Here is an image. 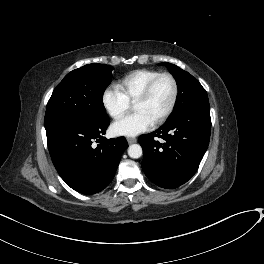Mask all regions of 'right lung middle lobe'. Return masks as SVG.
Masks as SVG:
<instances>
[{
    "label": "right lung middle lobe",
    "instance_id": "right-lung-middle-lobe-1",
    "mask_svg": "<svg viewBox=\"0 0 264 264\" xmlns=\"http://www.w3.org/2000/svg\"><path fill=\"white\" fill-rule=\"evenodd\" d=\"M112 70L110 65L92 63L68 73L48 101L45 127L109 118L103 104V93L111 83Z\"/></svg>",
    "mask_w": 264,
    "mask_h": 264
}]
</instances>
